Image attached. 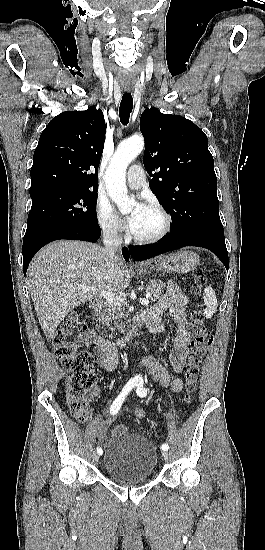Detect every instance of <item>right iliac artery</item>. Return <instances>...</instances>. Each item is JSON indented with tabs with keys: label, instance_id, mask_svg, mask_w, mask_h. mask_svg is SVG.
Returning a JSON list of instances; mask_svg holds the SVG:
<instances>
[{
	"label": "right iliac artery",
	"instance_id": "obj_1",
	"mask_svg": "<svg viewBox=\"0 0 265 550\" xmlns=\"http://www.w3.org/2000/svg\"><path fill=\"white\" fill-rule=\"evenodd\" d=\"M138 378H132L130 379L126 385L123 387L122 391L120 392V394L118 395V397L113 401L111 407H110V413L112 415H115L118 413V411L120 410L124 400H125V397L128 395V393L136 386L137 382H138ZM97 453L98 454H101L102 453V449L101 448H97Z\"/></svg>",
	"mask_w": 265,
	"mask_h": 550
}]
</instances>
